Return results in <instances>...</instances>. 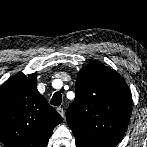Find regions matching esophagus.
<instances>
[{
  "instance_id": "esophagus-1",
  "label": "esophagus",
  "mask_w": 147,
  "mask_h": 147,
  "mask_svg": "<svg viewBox=\"0 0 147 147\" xmlns=\"http://www.w3.org/2000/svg\"><path fill=\"white\" fill-rule=\"evenodd\" d=\"M57 112L64 118V116H65V113H64V110H63V108L62 107H57Z\"/></svg>"
}]
</instances>
